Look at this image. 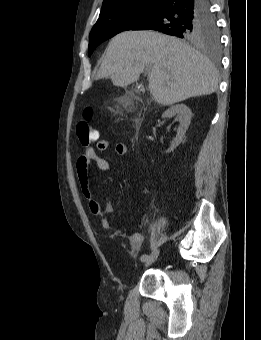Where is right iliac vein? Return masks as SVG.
<instances>
[{
  "mask_svg": "<svg viewBox=\"0 0 261 340\" xmlns=\"http://www.w3.org/2000/svg\"><path fill=\"white\" fill-rule=\"evenodd\" d=\"M160 253H161L160 248L154 249L152 253L149 255L148 260L145 262V266H149L155 263L158 260Z\"/></svg>",
  "mask_w": 261,
  "mask_h": 340,
  "instance_id": "obj_1",
  "label": "right iliac vein"
}]
</instances>
